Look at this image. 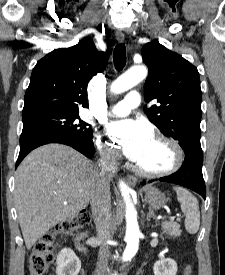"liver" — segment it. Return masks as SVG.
Masks as SVG:
<instances>
[{
    "label": "liver",
    "mask_w": 225,
    "mask_h": 275,
    "mask_svg": "<svg viewBox=\"0 0 225 275\" xmlns=\"http://www.w3.org/2000/svg\"><path fill=\"white\" fill-rule=\"evenodd\" d=\"M97 172L92 161L62 144H47L26 156L16 171L14 197L27 249L88 206Z\"/></svg>",
    "instance_id": "6515ba94"
}]
</instances>
